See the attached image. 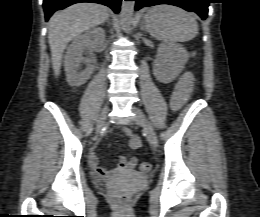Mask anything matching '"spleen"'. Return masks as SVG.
I'll list each match as a JSON object with an SVG mask.
<instances>
[{
  "mask_svg": "<svg viewBox=\"0 0 260 217\" xmlns=\"http://www.w3.org/2000/svg\"><path fill=\"white\" fill-rule=\"evenodd\" d=\"M150 35L164 42H184L198 34V24L192 13L171 6L158 5L145 15Z\"/></svg>",
  "mask_w": 260,
  "mask_h": 217,
  "instance_id": "spleen-1",
  "label": "spleen"
}]
</instances>
